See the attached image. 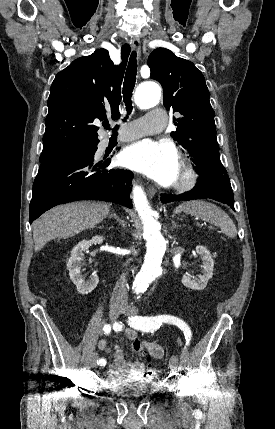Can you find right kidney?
Wrapping results in <instances>:
<instances>
[{"label": "right kidney", "mask_w": 275, "mask_h": 429, "mask_svg": "<svg viewBox=\"0 0 275 429\" xmlns=\"http://www.w3.org/2000/svg\"><path fill=\"white\" fill-rule=\"evenodd\" d=\"M102 242L103 237L95 236L89 241L82 240L71 251V256L67 262V270L69 271L70 279L76 285L77 291L82 295L91 293L99 282V278L95 273L86 281L81 274L84 253L88 251L91 244H101Z\"/></svg>", "instance_id": "obj_1"}]
</instances>
